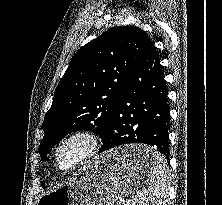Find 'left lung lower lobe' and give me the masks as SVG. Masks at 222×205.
<instances>
[{"label": "left lung lower lobe", "mask_w": 222, "mask_h": 205, "mask_svg": "<svg viewBox=\"0 0 222 205\" xmlns=\"http://www.w3.org/2000/svg\"><path fill=\"white\" fill-rule=\"evenodd\" d=\"M167 94L158 53L149 40L128 75L99 152L126 143H144L154 146L168 159L170 107ZM151 161L150 156L137 157L139 164L148 165Z\"/></svg>", "instance_id": "0a47b994"}]
</instances>
